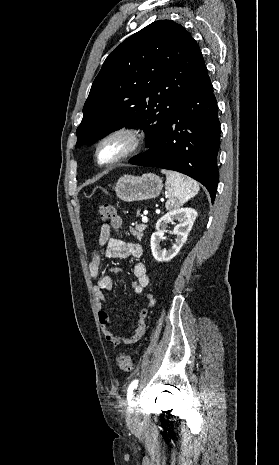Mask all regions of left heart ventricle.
<instances>
[{"label":"left heart ventricle","instance_id":"1","mask_svg":"<svg viewBox=\"0 0 279 465\" xmlns=\"http://www.w3.org/2000/svg\"><path fill=\"white\" fill-rule=\"evenodd\" d=\"M127 147V140L123 137H115L108 140L100 150L103 161L111 160L120 155Z\"/></svg>","mask_w":279,"mask_h":465}]
</instances>
